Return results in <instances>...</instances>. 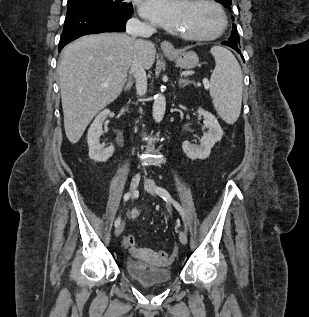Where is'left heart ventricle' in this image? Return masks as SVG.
<instances>
[{"label": "left heart ventricle", "instance_id": "left-heart-ventricle-1", "mask_svg": "<svg viewBox=\"0 0 309 317\" xmlns=\"http://www.w3.org/2000/svg\"><path fill=\"white\" fill-rule=\"evenodd\" d=\"M219 25L215 9L204 3L186 2L179 31L189 34H210Z\"/></svg>", "mask_w": 309, "mask_h": 317}]
</instances>
